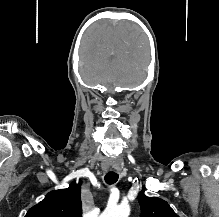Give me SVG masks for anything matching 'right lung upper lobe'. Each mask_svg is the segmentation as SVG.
<instances>
[{
  "instance_id": "obj_1",
  "label": "right lung upper lobe",
  "mask_w": 219,
  "mask_h": 217,
  "mask_svg": "<svg viewBox=\"0 0 219 217\" xmlns=\"http://www.w3.org/2000/svg\"><path fill=\"white\" fill-rule=\"evenodd\" d=\"M81 213V183L74 181L67 189L48 193L25 217H81Z\"/></svg>"
}]
</instances>
